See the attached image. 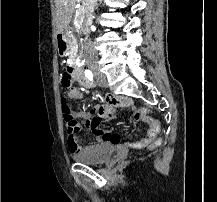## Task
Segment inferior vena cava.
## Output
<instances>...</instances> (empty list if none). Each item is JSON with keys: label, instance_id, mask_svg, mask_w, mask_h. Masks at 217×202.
I'll return each instance as SVG.
<instances>
[{"label": "inferior vena cava", "instance_id": "inferior-vena-cava-1", "mask_svg": "<svg viewBox=\"0 0 217 202\" xmlns=\"http://www.w3.org/2000/svg\"><path fill=\"white\" fill-rule=\"evenodd\" d=\"M96 2L97 0H83V6L85 8L84 28H87V34H84V54L86 58H97L96 50H94L93 44L89 38V26Z\"/></svg>", "mask_w": 217, "mask_h": 202}]
</instances>
